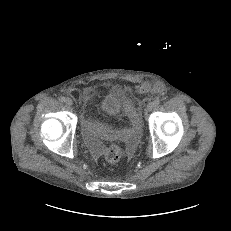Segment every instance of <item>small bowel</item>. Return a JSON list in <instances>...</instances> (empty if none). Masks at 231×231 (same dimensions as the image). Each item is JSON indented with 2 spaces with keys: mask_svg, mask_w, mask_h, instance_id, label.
<instances>
[{
  "mask_svg": "<svg viewBox=\"0 0 231 231\" xmlns=\"http://www.w3.org/2000/svg\"><path fill=\"white\" fill-rule=\"evenodd\" d=\"M93 94L91 89H86L84 91V96L89 99ZM83 133L87 144L92 150L98 152L100 150V144L98 138H105L108 134V130L101 127L93 120H91L87 115L83 118ZM127 139L135 140L137 137V132L133 131L131 133H121Z\"/></svg>",
  "mask_w": 231,
  "mask_h": 231,
  "instance_id": "small-bowel-1",
  "label": "small bowel"
}]
</instances>
